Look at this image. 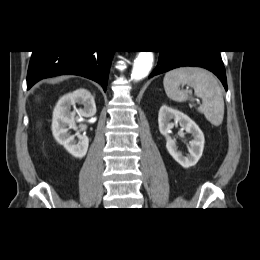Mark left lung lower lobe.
<instances>
[{
	"mask_svg": "<svg viewBox=\"0 0 260 260\" xmlns=\"http://www.w3.org/2000/svg\"><path fill=\"white\" fill-rule=\"evenodd\" d=\"M159 61L149 78L178 67H202L213 72L227 90V79L224 64L219 50L201 51H159Z\"/></svg>",
	"mask_w": 260,
	"mask_h": 260,
	"instance_id": "left-lung-lower-lobe-1",
	"label": "left lung lower lobe"
}]
</instances>
